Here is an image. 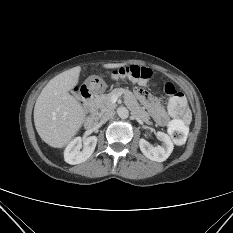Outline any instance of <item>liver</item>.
<instances>
[{"mask_svg":"<svg viewBox=\"0 0 233 233\" xmlns=\"http://www.w3.org/2000/svg\"><path fill=\"white\" fill-rule=\"evenodd\" d=\"M123 63L103 64L106 69L123 67ZM81 67L64 71L43 88L34 107V123L40 138L54 148L65 147L86 119L82 104L69 91L79 80Z\"/></svg>","mask_w":233,"mask_h":233,"instance_id":"liver-1","label":"liver"}]
</instances>
